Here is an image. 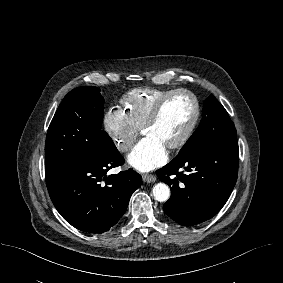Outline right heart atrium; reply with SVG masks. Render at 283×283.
Masks as SVG:
<instances>
[{"instance_id":"obj_1","label":"right heart atrium","mask_w":283,"mask_h":283,"mask_svg":"<svg viewBox=\"0 0 283 283\" xmlns=\"http://www.w3.org/2000/svg\"><path fill=\"white\" fill-rule=\"evenodd\" d=\"M103 125L120 151L128 152L132 149L138 137L139 129L121 109L111 108L107 110L103 117Z\"/></svg>"}]
</instances>
